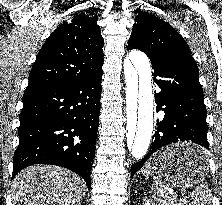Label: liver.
<instances>
[{
	"mask_svg": "<svg viewBox=\"0 0 222 205\" xmlns=\"http://www.w3.org/2000/svg\"><path fill=\"white\" fill-rule=\"evenodd\" d=\"M85 182L58 166L34 165L19 172L12 182V205H80Z\"/></svg>",
	"mask_w": 222,
	"mask_h": 205,
	"instance_id": "1",
	"label": "liver"
}]
</instances>
